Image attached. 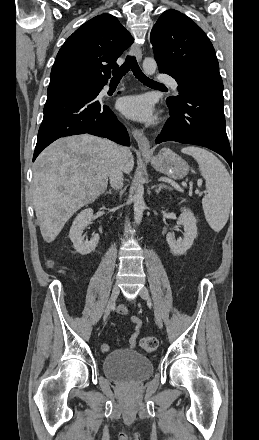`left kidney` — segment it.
Segmentation results:
<instances>
[{
	"mask_svg": "<svg viewBox=\"0 0 259 440\" xmlns=\"http://www.w3.org/2000/svg\"><path fill=\"white\" fill-rule=\"evenodd\" d=\"M181 211L182 213L178 218L177 224L184 227V237L176 241L173 233H168L166 236L170 250L175 255L185 254L186 251L191 248L197 236L196 218L194 214L187 208H182Z\"/></svg>",
	"mask_w": 259,
	"mask_h": 440,
	"instance_id": "1",
	"label": "left kidney"
}]
</instances>
